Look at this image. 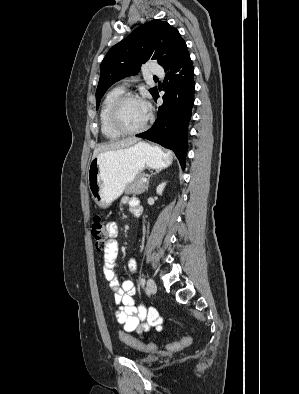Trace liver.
Wrapping results in <instances>:
<instances>
[{"label": "liver", "mask_w": 299, "mask_h": 394, "mask_svg": "<svg viewBox=\"0 0 299 394\" xmlns=\"http://www.w3.org/2000/svg\"><path fill=\"white\" fill-rule=\"evenodd\" d=\"M137 142H139V139H137V138H127L124 140L111 142L109 144L99 145L97 148H95V150L93 152V157H95L99 153H102L105 151H111V150H117V149H121V148L130 147V146L136 144Z\"/></svg>", "instance_id": "obj_1"}]
</instances>
